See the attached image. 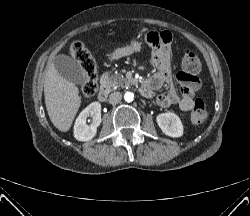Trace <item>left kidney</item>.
<instances>
[{
	"label": "left kidney",
	"mask_w": 250,
	"mask_h": 216,
	"mask_svg": "<svg viewBox=\"0 0 250 216\" xmlns=\"http://www.w3.org/2000/svg\"><path fill=\"white\" fill-rule=\"evenodd\" d=\"M156 121L162 132L169 137L178 138L184 133L183 124L175 113H161L156 117Z\"/></svg>",
	"instance_id": "5707ae66"
}]
</instances>
